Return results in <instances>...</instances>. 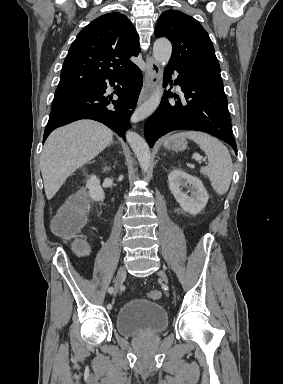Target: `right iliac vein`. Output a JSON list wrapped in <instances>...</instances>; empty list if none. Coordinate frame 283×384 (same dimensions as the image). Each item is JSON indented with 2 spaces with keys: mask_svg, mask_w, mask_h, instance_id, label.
<instances>
[{
  "mask_svg": "<svg viewBox=\"0 0 283 384\" xmlns=\"http://www.w3.org/2000/svg\"><path fill=\"white\" fill-rule=\"evenodd\" d=\"M126 277V270L124 267H120L118 269L116 278H115V284H114V296L117 295L118 291L120 290L121 285L123 284V281Z\"/></svg>",
  "mask_w": 283,
  "mask_h": 384,
  "instance_id": "obj_1",
  "label": "right iliac vein"
}]
</instances>
